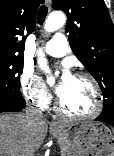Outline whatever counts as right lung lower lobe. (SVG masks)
<instances>
[{"label": "right lung lower lobe", "mask_w": 114, "mask_h": 156, "mask_svg": "<svg viewBox=\"0 0 114 156\" xmlns=\"http://www.w3.org/2000/svg\"><path fill=\"white\" fill-rule=\"evenodd\" d=\"M25 100L14 101L7 99H0V112L20 111L25 106Z\"/></svg>", "instance_id": "right-lung-lower-lobe-1"}]
</instances>
